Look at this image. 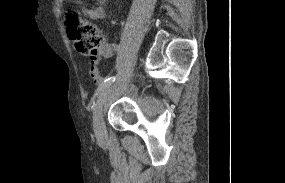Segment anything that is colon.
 <instances>
[{"instance_id":"colon-1","label":"colon","mask_w":285,"mask_h":183,"mask_svg":"<svg viewBox=\"0 0 285 183\" xmlns=\"http://www.w3.org/2000/svg\"><path fill=\"white\" fill-rule=\"evenodd\" d=\"M66 31L76 49L85 55L94 58L105 42V37L97 27L89 22L81 21L78 16L70 14L66 17Z\"/></svg>"}]
</instances>
